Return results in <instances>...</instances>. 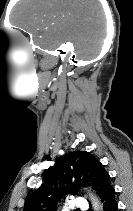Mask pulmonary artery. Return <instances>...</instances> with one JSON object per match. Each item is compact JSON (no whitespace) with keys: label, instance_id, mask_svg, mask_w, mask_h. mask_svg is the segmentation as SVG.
Returning <instances> with one entry per match:
<instances>
[{"label":"pulmonary artery","instance_id":"e3ab8cb5","mask_svg":"<svg viewBox=\"0 0 133 211\" xmlns=\"http://www.w3.org/2000/svg\"><path fill=\"white\" fill-rule=\"evenodd\" d=\"M73 207L79 210H86L88 208V203L84 198L77 197L73 202Z\"/></svg>","mask_w":133,"mask_h":211}]
</instances>
